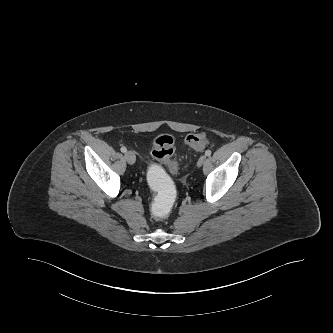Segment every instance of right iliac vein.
I'll list each match as a JSON object with an SVG mask.
<instances>
[{"instance_id": "right-iliac-vein-1", "label": "right iliac vein", "mask_w": 333, "mask_h": 333, "mask_svg": "<svg viewBox=\"0 0 333 333\" xmlns=\"http://www.w3.org/2000/svg\"><path fill=\"white\" fill-rule=\"evenodd\" d=\"M125 159L129 164H134L136 161V156L133 151H128L125 153Z\"/></svg>"}]
</instances>
